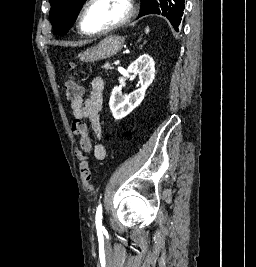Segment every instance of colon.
I'll return each mask as SVG.
<instances>
[{"label": "colon", "mask_w": 256, "mask_h": 267, "mask_svg": "<svg viewBox=\"0 0 256 267\" xmlns=\"http://www.w3.org/2000/svg\"><path fill=\"white\" fill-rule=\"evenodd\" d=\"M73 68V66H69ZM67 86V99L68 101H76L80 98L82 93L81 85L76 81L74 77H69L66 82ZM72 130L75 134L81 136L80 145L83 149H88L90 142L87 136V128L85 123L78 118H75L72 122ZM81 176L83 180V184L88 191L93 190L92 185V173H91V166L86 161L81 163Z\"/></svg>", "instance_id": "colon-1"}]
</instances>
